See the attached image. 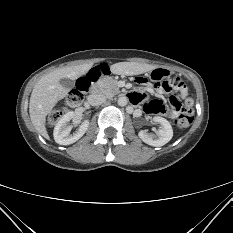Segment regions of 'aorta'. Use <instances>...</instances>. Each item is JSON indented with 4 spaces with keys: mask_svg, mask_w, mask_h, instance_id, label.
Masks as SVG:
<instances>
[{
    "mask_svg": "<svg viewBox=\"0 0 233 233\" xmlns=\"http://www.w3.org/2000/svg\"><path fill=\"white\" fill-rule=\"evenodd\" d=\"M117 103L119 106H126L128 103V99L127 97H119Z\"/></svg>",
    "mask_w": 233,
    "mask_h": 233,
    "instance_id": "obj_1",
    "label": "aorta"
}]
</instances>
